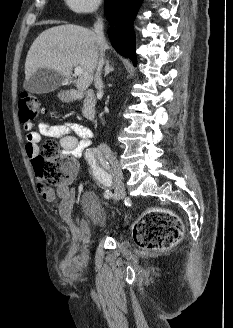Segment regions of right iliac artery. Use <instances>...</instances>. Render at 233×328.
Here are the masks:
<instances>
[{
    "label": "right iliac artery",
    "instance_id": "obj_1",
    "mask_svg": "<svg viewBox=\"0 0 233 328\" xmlns=\"http://www.w3.org/2000/svg\"><path fill=\"white\" fill-rule=\"evenodd\" d=\"M85 157L98 186L105 189L104 197L106 199L111 198L112 192L109 188L112 185V177L108 172L109 165L104 159L102 152L98 148H93L86 152Z\"/></svg>",
    "mask_w": 233,
    "mask_h": 328
}]
</instances>
